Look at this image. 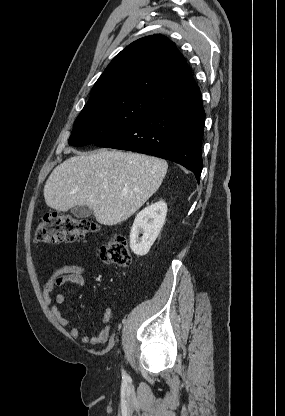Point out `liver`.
Here are the masks:
<instances>
[{"mask_svg": "<svg viewBox=\"0 0 285 416\" xmlns=\"http://www.w3.org/2000/svg\"><path fill=\"white\" fill-rule=\"evenodd\" d=\"M70 152L75 150L66 148L65 154ZM167 168L160 158L102 148L73 156L54 168L43 194L47 206L56 212L88 206L96 222L115 226L157 192Z\"/></svg>", "mask_w": 285, "mask_h": 416, "instance_id": "1", "label": "liver"}]
</instances>
